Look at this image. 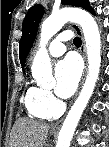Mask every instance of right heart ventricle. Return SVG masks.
<instances>
[{
  "label": "right heart ventricle",
  "mask_w": 109,
  "mask_h": 147,
  "mask_svg": "<svg viewBox=\"0 0 109 147\" xmlns=\"http://www.w3.org/2000/svg\"><path fill=\"white\" fill-rule=\"evenodd\" d=\"M40 89L28 83L24 93V104L28 113L37 119H52L57 116L59 108L51 110L46 108L39 99Z\"/></svg>",
  "instance_id": "e07e8e85"
}]
</instances>
